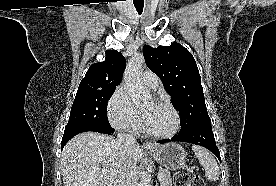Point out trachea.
I'll list each match as a JSON object with an SVG mask.
<instances>
[{
	"mask_svg": "<svg viewBox=\"0 0 276 186\" xmlns=\"http://www.w3.org/2000/svg\"><path fill=\"white\" fill-rule=\"evenodd\" d=\"M138 14H141L144 8V2H133Z\"/></svg>",
	"mask_w": 276,
	"mask_h": 186,
	"instance_id": "1",
	"label": "trachea"
}]
</instances>
